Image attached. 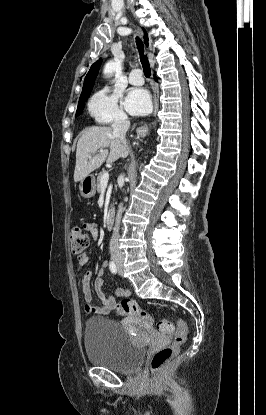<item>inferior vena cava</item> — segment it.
Segmentation results:
<instances>
[{"label": "inferior vena cava", "mask_w": 266, "mask_h": 415, "mask_svg": "<svg viewBox=\"0 0 266 415\" xmlns=\"http://www.w3.org/2000/svg\"><path fill=\"white\" fill-rule=\"evenodd\" d=\"M130 121L128 120L125 114L119 115L116 117L115 121L112 124L113 135L118 137L121 142L126 146V132L129 129ZM124 211L123 204L121 203L118 207L115 226L113 229V234L110 240L109 249L111 258H122L123 253L119 248V228H120V221L121 216Z\"/></svg>", "instance_id": "inferior-vena-cava-1"}]
</instances>
